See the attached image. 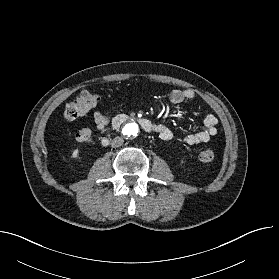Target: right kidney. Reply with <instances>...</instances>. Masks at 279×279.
<instances>
[{"instance_id": "ca27d5eb", "label": "right kidney", "mask_w": 279, "mask_h": 279, "mask_svg": "<svg viewBox=\"0 0 279 279\" xmlns=\"http://www.w3.org/2000/svg\"><path fill=\"white\" fill-rule=\"evenodd\" d=\"M78 155H79V150L76 149V150L73 151L72 158H77Z\"/></svg>"}]
</instances>
